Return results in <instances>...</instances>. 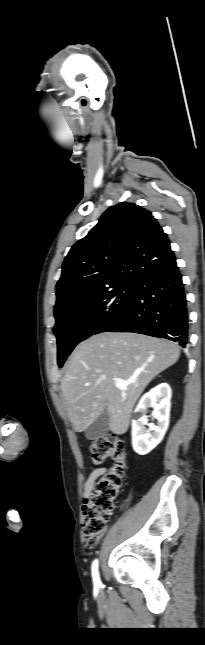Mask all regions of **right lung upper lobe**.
Wrapping results in <instances>:
<instances>
[{"instance_id": "right-lung-upper-lobe-1", "label": "right lung upper lobe", "mask_w": 205, "mask_h": 645, "mask_svg": "<svg viewBox=\"0 0 205 645\" xmlns=\"http://www.w3.org/2000/svg\"><path fill=\"white\" fill-rule=\"evenodd\" d=\"M174 258L167 235L150 211L126 202L112 206L65 258L54 313L82 297L135 284Z\"/></svg>"}]
</instances>
